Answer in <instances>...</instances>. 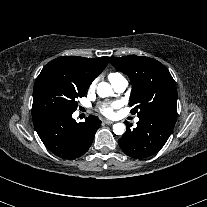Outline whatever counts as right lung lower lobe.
<instances>
[{"instance_id": "1", "label": "right lung lower lobe", "mask_w": 207, "mask_h": 207, "mask_svg": "<svg viewBox=\"0 0 207 207\" xmlns=\"http://www.w3.org/2000/svg\"><path fill=\"white\" fill-rule=\"evenodd\" d=\"M34 127L44 145L64 159H76L87 152L101 125L96 116L77 123L72 114L45 111L32 114Z\"/></svg>"}]
</instances>
